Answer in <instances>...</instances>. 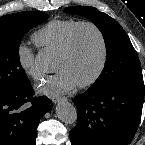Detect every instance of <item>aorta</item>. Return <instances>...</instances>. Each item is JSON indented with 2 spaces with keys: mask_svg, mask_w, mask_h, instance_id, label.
I'll return each mask as SVG.
<instances>
[{
  "mask_svg": "<svg viewBox=\"0 0 145 145\" xmlns=\"http://www.w3.org/2000/svg\"><path fill=\"white\" fill-rule=\"evenodd\" d=\"M36 61L39 64H43L45 61V56L43 53H39L36 56ZM56 114L58 118L67 124H74L77 120V109L74 105L67 101H61L56 106Z\"/></svg>",
  "mask_w": 145,
  "mask_h": 145,
  "instance_id": "1",
  "label": "aorta"
}]
</instances>
